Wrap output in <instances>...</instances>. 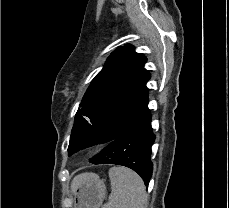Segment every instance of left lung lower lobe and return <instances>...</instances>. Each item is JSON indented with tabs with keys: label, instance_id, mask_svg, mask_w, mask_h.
Masks as SVG:
<instances>
[{
	"label": "left lung lower lobe",
	"instance_id": "obj_1",
	"mask_svg": "<svg viewBox=\"0 0 229 208\" xmlns=\"http://www.w3.org/2000/svg\"><path fill=\"white\" fill-rule=\"evenodd\" d=\"M150 111L138 117L135 123L123 129L98 132L69 151L73 153L106 142H111L100 154L90 160L93 164H117L131 168L148 186L152 176L151 147L155 135L151 128Z\"/></svg>",
	"mask_w": 229,
	"mask_h": 208
}]
</instances>
